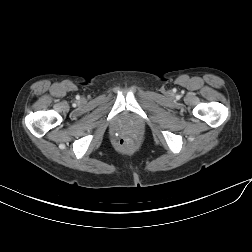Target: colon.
<instances>
[{
  "label": "colon",
  "mask_w": 252,
  "mask_h": 252,
  "mask_svg": "<svg viewBox=\"0 0 252 252\" xmlns=\"http://www.w3.org/2000/svg\"><path fill=\"white\" fill-rule=\"evenodd\" d=\"M118 147L123 150V151H128L131 150L133 147V143L130 139L128 138H121L118 141Z\"/></svg>",
  "instance_id": "5ec220e1"
}]
</instances>
